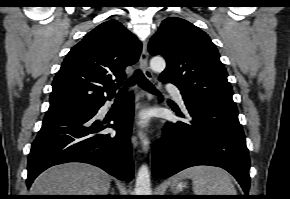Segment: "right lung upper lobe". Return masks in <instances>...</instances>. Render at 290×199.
Wrapping results in <instances>:
<instances>
[{
	"mask_svg": "<svg viewBox=\"0 0 290 199\" xmlns=\"http://www.w3.org/2000/svg\"><path fill=\"white\" fill-rule=\"evenodd\" d=\"M141 48L137 37L120 22L110 20L97 26L64 59L53 80L45 117L97 107L113 98L126 79L125 68L138 61Z\"/></svg>",
	"mask_w": 290,
	"mask_h": 199,
	"instance_id": "1",
	"label": "right lung upper lobe"
}]
</instances>
